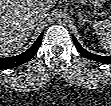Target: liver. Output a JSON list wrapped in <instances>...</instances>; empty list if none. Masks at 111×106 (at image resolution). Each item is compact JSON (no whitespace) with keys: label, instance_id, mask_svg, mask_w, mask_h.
<instances>
[{"label":"liver","instance_id":"liver-1","mask_svg":"<svg viewBox=\"0 0 111 106\" xmlns=\"http://www.w3.org/2000/svg\"><path fill=\"white\" fill-rule=\"evenodd\" d=\"M52 0L0 1V54L11 55L20 50L35 28L34 13L39 8L50 10Z\"/></svg>","mask_w":111,"mask_h":106}]
</instances>
